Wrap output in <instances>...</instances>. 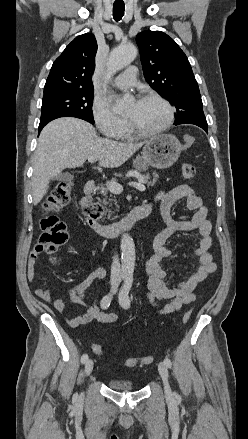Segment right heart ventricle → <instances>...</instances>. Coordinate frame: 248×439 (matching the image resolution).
I'll list each match as a JSON object with an SVG mask.
<instances>
[{"instance_id": "right-heart-ventricle-1", "label": "right heart ventricle", "mask_w": 248, "mask_h": 439, "mask_svg": "<svg viewBox=\"0 0 248 439\" xmlns=\"http://www.w3.org/2000/svg\"><path fill=\"white\" fill-rule=\"evenodd\" d=\"M116 138L121 141H133L136 139V134L131 131L127 124L122 133H120Z\"/></svg>"}]
</instances>
